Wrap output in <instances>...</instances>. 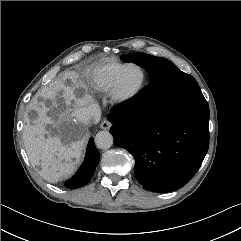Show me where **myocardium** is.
<instances>
[{"label":"myocardium","instance_id":"f54148a6","mask_svg":"<svg viewBox=\"0 0 241 241\" xmlns=\"http://www.w3.org/2000/svg\"><path fill=\"white\" fill-rule=\"evenodd\" d=\"M131 67L138 68L142 73V79L137 86L132 89L125 90L121 87L120 80L123 74ZM147 81V71L136 63L126 64L115 76L110 95L114 104L120 108H126L130 106L143 92Z\"/></svg>","mask_w":241,"mask_h":241}]
</instances>
